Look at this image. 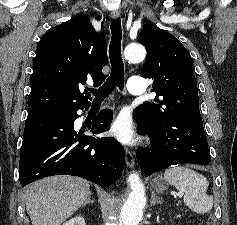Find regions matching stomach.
<instances>
[{
	"label": "stomach",
	"instance_id": "stomach-1",
	"mask_svg": "<svg viewBox=\"0 0 237 225\" xmlns=\"http://www.w3.org/2000/svg\"><path fill=\"white\" fill-rule=\"evenodd\" d=\"M150 186L154 192L159 194L164 193L167 190V184L162 176H156L150 182Z\"/></svg>",
	"mask_w": 237,
	"mask_h": 225
}]
</instances>
